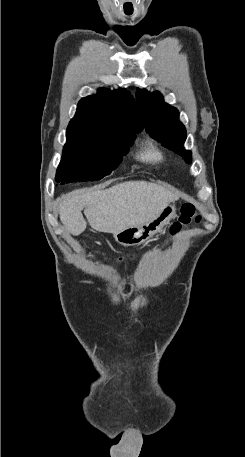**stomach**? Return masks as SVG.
Listing matches in <instances>:
<instances>
[{
	"instance_id": "1",
	"label": "stomach",
	"mask_w": 245,
	"mask_h": 457,
	"mask_svg": "<svg viewBox=\"0 0 245 457\" xmlns=\"http://www.w3.org/2000/svg\"><path fill=\"white\" fill-rule=\"evenodd\" d=\"M174 216H176L175 204L169 202L153 220H148L143 224L127 226V229L114 233V239L116 243L123 245V247H138V245H143L146 241H150L157 233H162L164 226L169 224Z\"/></svg>"
}]
</instances>
